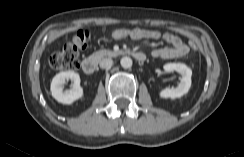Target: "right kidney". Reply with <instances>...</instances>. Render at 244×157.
<instances>
[{
    "mask_svg": "<svg viewBox=\"0 0 244 157\" xmlns=\"http://www.w3.org/2000/svg\"><path fill=\"white\" fill-rule=\"evenodd\" d=\"M73 81V87L70 90H63V84L66 80ZM51 94L59 103L70 105L83 97V89L80 86V77L73 71L60 72L54 76L50 86Z\"/></svg>",
    "mask_w": 244,
    "mask_h": 157,
    "instance_id": "right-kidney-1",
    "label": "right kidney"
}]
</instances>
